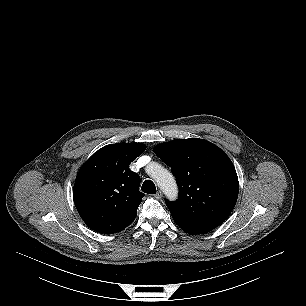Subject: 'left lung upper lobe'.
<instances>
[{"label":"left lung upper lobe","instance_id":"1","mask_svg":"<svg viewBox=\"0 0 306 306\" xmlns=\"http://www.w3.org/2000/svg\"><path fill=\"white\" fill-rule=\"evenodd\" d=\"M156 155L171 167L179 187L175 202L166 200L176 222L212 230L230 215L238 197V177L226 153L199 138L159 144Z\"/></svg>","mask_w":306,"mask_h":306}]
</instances>
